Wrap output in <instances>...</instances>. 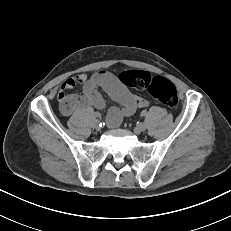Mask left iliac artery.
Instances as JSON below:
<instances>
[{
	"mask_svg": "<svg viewBox=\"0 0 231 231\" xmlns=\"http://www.w3.org/2000/svg\"><path fill=\"white\" fill-rule=\"evenodd\" d=\"M141 115H142V116H146V115H147V111H146V110H143V111L141 112Z\"/></svg>",
	"mask_w": 231,
	"mask_h": 231,
	"instance_id": "44dca946",
	"label": "left iliac artery"
}]
</instances>
